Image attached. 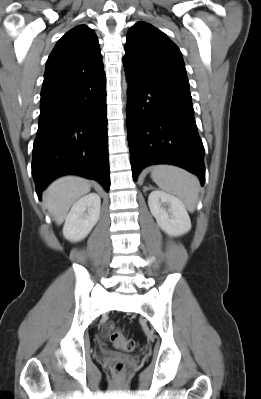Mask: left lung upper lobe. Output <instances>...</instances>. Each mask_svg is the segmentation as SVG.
I'll return each instance as SVG.
<instances>
[{
  "mask_svg": "<svg viewBox=\"0 0 261 399\" xmlns=\"http://www.w3.org/2000/svg\"><path fill=\"white\" fill-rule=\"evenodd\" d=\"M125 69L151 82L189 89L179 48L166 34L146 22H137L127 33Z\"/></svg>",
  "mask_w": 261,
  "mask_h": 399,
  "instance_id": "5c2ea615",
  "label": "left lung upper lobe"
}]
</instances>
